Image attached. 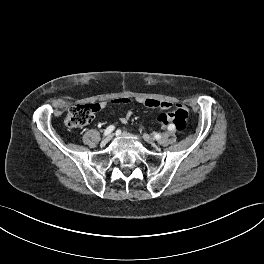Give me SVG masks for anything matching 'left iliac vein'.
I'll return each mask as SVG.
<instances>
[{
	"instance_id": "left-iliac-vein-1",
	"label": "left iliac vein",
	"mask_w": 264,
	"mask_h": 264,
	"mask_svg": "<svg viewBox=\"0 0 264 264\" xmlns=\"http://www.w3.org/2000/svg\"><path fill=\"white\" fill-rule=\"evenodd\" d=\"M143 139L148 142V143H152L153 139L151 136H149L148 134H143Z\"/></svg>"
}]
</instances>
